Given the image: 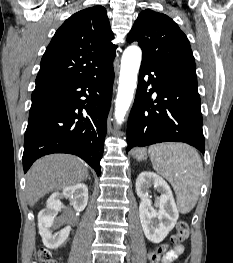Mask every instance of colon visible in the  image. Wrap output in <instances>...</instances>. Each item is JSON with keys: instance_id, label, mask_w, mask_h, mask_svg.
<instances>
[{"instance_id": "obj_1", "label": "colon", "mask_w": 233, "mask_h": 263, "mask_svg": "<svg viewBox=\"0 0 233 263\" xmlns=\"http://www.w3.org/2000/svg\"><path fill=\"white\" fill-rule=\"evenodd\" d=\"M189 236L188 224L185 221H181L177 225L175 234L171 236L170 243L174 246L180 245ZM168 250V244H159L153 251L149 253L150 263H160L161 258ZM39 260L42 263H60L59 259L56 258L48 249L42 248L38 251Z\"/></svg>"}]
</instances>
